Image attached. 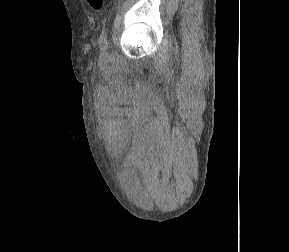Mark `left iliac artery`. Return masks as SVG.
I'll list each match as a JSON object with an SVG mask.
<instances>
[{
    "label": "left iliac artery",
    "instance_id": "44dca946",
    "mask_svg": "<svg viewBox=\"0 0 289 252\" xmlns=\"http://www.w3.org/2000/svg\"><path fill=\"white\" fill-rule=\"evenodd\" d=\"M99 44L101 47H107V31L105 29L102 30L101 35L99 37Z\"/></svg>",
    "mask_w": 289,
    "mask_h": 252
}]
</instances>
